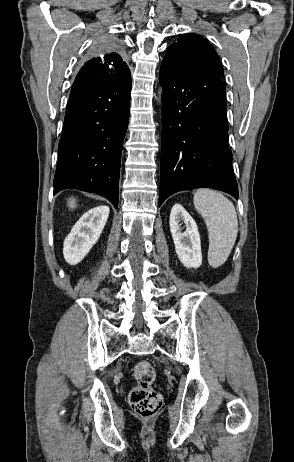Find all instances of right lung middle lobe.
<instances>
[{"label":"right lung middle lobe","mask_w":294,"mask_h":462,"mask_svg":"<svg viewBox=\"0 0 294 462\" xmlns=\"http://www.w3.org/2000/svg\"><path fill=\"white\" fill-rule=\"evenodd\" d=\"M119 46L120 42L117 38L111 35H105L96 40L90 50V55L94 56L104 50L118 49Z\"/></svg>","instance_id":"dd1d6c3e"}]
</instances>
